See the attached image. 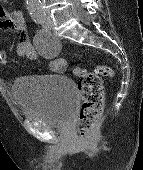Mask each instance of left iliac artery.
<instances>
[{
  "instance_id": "1",
  "label": "left iliac artery",
  "mask_w": 143,
  "mask_h": 170,
  "mask_svg": "<svg viewBox=\"0 0 143 170\" xmlns=\"http://www.w3.org/2000/svg\"><path fill=\"white\" fill-rule=\"evenodd\" d=\"M36 21L44 28H47V17L45 15L39 16Z\"/></svg>"
}]
</instances>
